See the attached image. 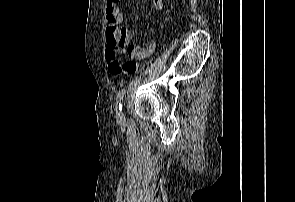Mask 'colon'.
Instances as JSON below:
<instances>
[{
    "mask_svg": "<svg viewBox=\"0 0 295 202\" xmlns=\"http://www.w3.org/2000/svg\"><path fill=\"white\" fill-rule=\"evenodd\" d=\"M108 23H109V27L106 34L107 44L109 47H119V50H120V46L122 44V38L120 37L119 32L117 31L119 26L115 21L108 22Z\"/></svg>",
    "mask_w": 295,
    "mask_h": 202,
    "instance_id": "colon-1",
    "label": "colon"
}]
</instances>
